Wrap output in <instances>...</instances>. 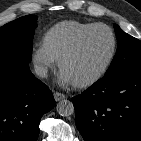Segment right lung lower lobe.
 <instances>
[{
  "label": "right lung lower lobe",
  "mask_w": 141,
  "mask_h": 141,
  "mask_svg": "<svg viewBox=\"0 0 141 141\" xmlns=\"http://www.w3.org/2000/svg\"><path fill=\"white\" fill-rule=\"evenodd\" d=\"M54 106L28 63L0 64V141H37L40 119Z\"/></svg>",
  "instance_id": "98d812e1"
}]
</instances>
